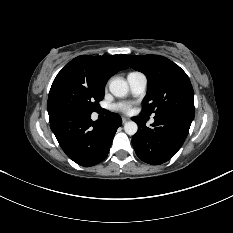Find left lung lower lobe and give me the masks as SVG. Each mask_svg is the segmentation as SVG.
I'll return each mask as SVG.
<instances>
[{"label": "left lung lower lobe", "instance_id": "obj_1", "mask_svg": "<svg viewBox=\"0 0 233 233\" xmlns=\"http://www.w3.org/2000/svg\"><path fill=\"white\" fill-rule=\"evenodd\" d=\"M154 119L149 128L143 118H132L138 124L132 144L142 161L158 165L170 160L181 148L192 121L170 114H158Z\"/></svg>", "mask_w": 233, "mask_h": 233}]
</instances>
